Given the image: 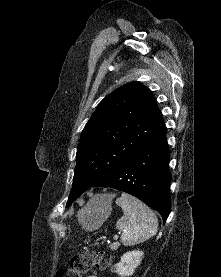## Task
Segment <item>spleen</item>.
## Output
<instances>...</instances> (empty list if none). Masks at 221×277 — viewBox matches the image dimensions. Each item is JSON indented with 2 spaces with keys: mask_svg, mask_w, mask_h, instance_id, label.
I'll return each mask as SVG.
<instances>
[{
  "mask_svg": "<svg viewBox=\"0 0 221 277\" xmlns=\"http://www.w3.org/2000/svg\"><path fill=\"white\" fill-rule=\"evenodd\" d=\"M116 204L124 212V216L116 223V228L122 231L121 242L124 246L144 242L156 234L157 217L148 206L125 193L116 199Z\"/></svg>",
  "mask_w": 221,
  "mask_h": 277,
  "instance_id": "spleen-1",
  "label": "spleen"
}]
</instances>
